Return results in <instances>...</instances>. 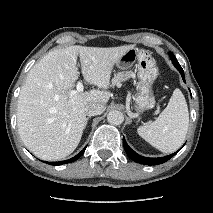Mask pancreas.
Returning <instances> with one entry per match:
<instances>
[{
	"mask_svg": "<svg viewBox=\"0 0 213 213\" xmlns=\"http://www.w3.org/2000/svg\"><path fill=\"white\" fill-rule=\"evenodd\" d=\"M135 73L132 71H126V72H119L115 74L114 78L112 79V85L119 86L121 82L127 80L130 77H134Z\"/></svg>",
	"mask_w": 213,
	"mask_h": 213,
	"instance_id": "1",
	"label": "pancreas"
}]
</instances>
